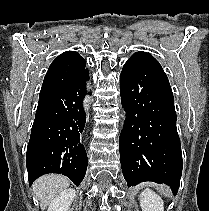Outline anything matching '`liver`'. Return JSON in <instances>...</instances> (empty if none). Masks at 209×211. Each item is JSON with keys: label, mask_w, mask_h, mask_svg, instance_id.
Instances as JSON below:
<instances>
[{"label": "liver", "mask_w": 209, "mask_h": 211, "mask_svg": "<svg viewBox=\"0 0 209 211\" xmlns=\"http://www.w3.org/2000/svg\"><path fill=\"white\" fill-rule=\"evenodd\" d=\"M70 185V180L57 174H48L38 178L33 183V191L40 201V208L44 211L51 201Z\"/></svg>", "instance_id": "6515ba94"}]
</instances>
